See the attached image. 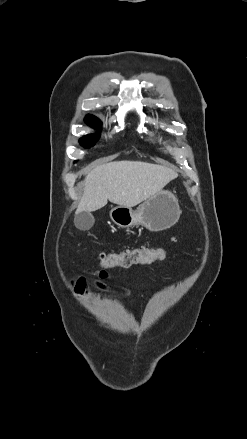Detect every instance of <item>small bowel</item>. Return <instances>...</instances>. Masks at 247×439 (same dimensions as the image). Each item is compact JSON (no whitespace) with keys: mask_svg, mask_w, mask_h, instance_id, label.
<instances>
[{"mask_svg":"<svg viewBox=\"0 0 247 439\" xmlns=\"http://www.w3.org/2000/svg\"><path fill=\"white\" fill-rule=\"evenodd\" d=\"M97 279L94 281V285L101 290H107L108 286L105 283V280L109 277L108 273L105 270H101L96 273ZM74 290L78 295L89 293V287L87 284V279L84 276H81L75 282ZM126 293L130 295V291L126 289Z\"/></svg>","mask_w":247,"mask_h":439,"instance_id":"small-bowel-1","label":"small bowel"}]
</instances>
